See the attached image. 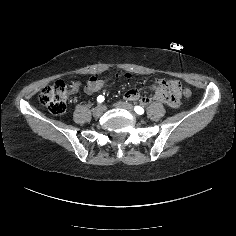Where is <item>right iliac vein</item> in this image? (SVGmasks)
Returning a JSON list of instances; mask_svg holds the SVG:
<instances>
[{"label":"right iliac vein","mask_w":236,"mask_h":236,"mask_svg":"<svg viewBox=\"0 0 236 236\" xmlns=\"http://www.w3.org/2000/svg\"><path fill=\"white\" fill-rule=\"evenodd\" d=\"M103 112H104V107L99 105V106H97L96 108L93 109V116L95 118H99V117L102 116Z\"/></svg>","instance_id":"right-iliac-vein-1"}]
</instances>
